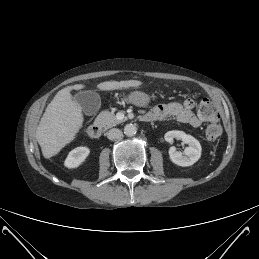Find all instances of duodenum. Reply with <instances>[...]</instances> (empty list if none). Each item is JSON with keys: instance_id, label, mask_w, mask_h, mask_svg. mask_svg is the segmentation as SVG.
Wrapping results in <instances>:
<instances>
[{"instance_id": "1", "label": "duodenum", "mask_w": 259, "mask_h": 259, "mask_svg": "<svg viewBox=\"0 0 259 259\" xmlns=\"http://www.w3.org/2000/svg\"><path fill=\"white\" fill-rule=\"evenodd\" d=\"M154 120L153 116L150 114H144L141 116V121L143 122H152ZM88 135L92 139H98L102 135V127L98 123H93L88 128Z\"/></svg>"}]
</instances>
